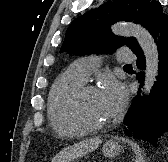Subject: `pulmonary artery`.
<instances>
[{
  "instance_id": "pulmonary-artery-1",
  "label": "pulmonary artery",
  "mask_w": 168,
  "mask_h": 162,
  "mask_svg": "<svg viewBox=\"0 0 168 162\" xmlns=\"http://www.w3.org/2000/svg\"><path fill=\"white\" fill-rule=\"evenodd\" d=\"M117 58L119 62H132L134 60L133 55L125 49L118 52ZM100 61L99 56H85L74 61L70 66V70L79 79L86 82L90 73L100 65Z\"/></svg>"
}]
</instances>
